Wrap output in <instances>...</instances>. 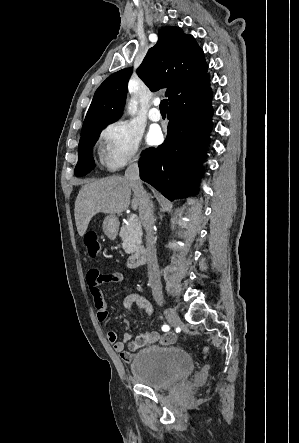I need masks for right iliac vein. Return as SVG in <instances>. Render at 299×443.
<instances>
[{
    "mask_svg": "<svg viewBox=\"0 0 299 443\" xmlns=\"http://www.w3.org/2000/svg\"><path fill=\"white\" fill-rule=\"evenodd\" d=\"M160 306H162V304L160 303ZM164 315L167 319V321L172 325V326H179L181 324V319L179 318V316L177 315V313L171 309V308H164Z\"/></svg>",
    "mask_w": 299,
    "mask_h": 443,
    "instance_id": "63e3f726",
    "label": "right iliac vein"
}]
</instances>
